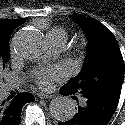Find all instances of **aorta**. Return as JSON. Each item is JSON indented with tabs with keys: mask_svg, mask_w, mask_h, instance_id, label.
<instances>
[{
	"mask_svg": "<svg viewBox=\"0 0 125 125\" xmlns=\"http://www.w3.org/2000/svg\"><path fill=\"white\" fill-rule=\"evenodd\" d=\"M45 40L38 30L20 31L16 37V50L23 57H37L45 50ZM51 115L59 121H67L76 113L75 105L66 96H60L51 101Z\"/></svg>",
	"mask_w": 125,
	"mask_h": 125,
	"instance_id": "obj_1",
	"label": "aorta"
}]
</instances>
